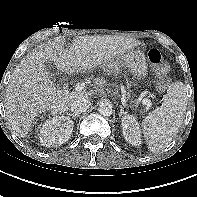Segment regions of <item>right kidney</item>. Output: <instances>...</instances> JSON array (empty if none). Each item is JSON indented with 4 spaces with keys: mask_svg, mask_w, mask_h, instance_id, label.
Segmentation results:
<instances>
[{
    "mask_svg": "<svg viewBox=\"0 0 197 197\" xmlns=\"http://www.w3.org/2000/svg\"><path fill=\"white\" fill-rule=\"evenodd\" d=\"M74 122L67 116L47 120L40 129V143L45 147H57L66 143L73 131Z\"/></svg>",
    "mask_w": 197,
    "mask_h": 197,
    "instance_id": "ca27d5eb",
    "label": "right kidney"
}]
</instances>
